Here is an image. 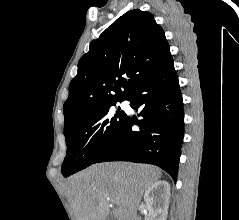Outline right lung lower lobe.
Masks as SVG:
<instances>
[{"label": "right lung lower lobe", "instance_id": "1", "mask_svg": "<svg viewBox=\"0 0 239 220\" xmlns=\"http://www.w3.org/2000/svg\"><path fill=\"white\" fill-rule=\"evenodd\" d=\"M139 116L123 125L94 163L132 161L154 164L177 179L184 137L183 100L173 60L149 76L125 99ZM133 124L139 129L132 130Z\"/></svg>", "mask_w": 239, "mask_h": 220}]
</instances>
